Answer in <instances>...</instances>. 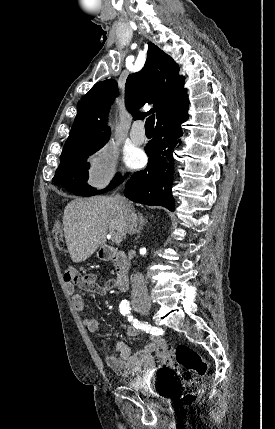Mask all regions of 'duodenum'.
<instances>
[{"mask_svg": "<svg viewBox=\"0 0 275 429\" xmlns=\"http://www.w3.org/2000/svg\"><path fill=\"white\" fill-rule=\"evenodd\" d=\"M100 257L105 261H111L116 271V287L125 291L129 285V265L124 252L109 246H103L99 251Z\"/></svg>", "mask_w": 275, "mask_h": 429, "instance_id": "obj_1", "label": "duodenum"}]
</instances>
